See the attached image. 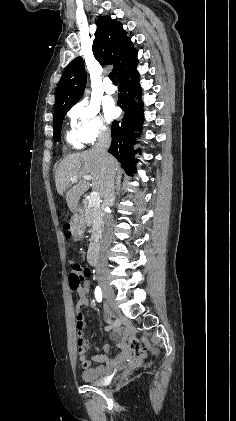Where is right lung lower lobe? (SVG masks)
I'll return each mask as SVG.
<instances>
[{
	"label": "right lung lower lobe",
	"mask_w": 236,
	"mask_h": 421,
	"mask_svg": "<svg viewBox=\"0 0 236 421\" xmlns=\"http://www.w3.org/2000/svg\"><path fill=\"white\" fill-rule=\"evenodd\" d=\"M137 58L125 67L121 68L116 74L119 81V99L118 106L124 110V116L120 121H113L111 127L112 144L109 152L121 163L127 174L136 172L134 168V155L137 151L133 150L135 144L134 136H138L134 131L140 130L143 122L142 107L143 103L138 104L133 101V97H141V87L139 85V73L136 69Z\"/></svg>",
	"instance_id": "98d812e1"
}]
</instances>
